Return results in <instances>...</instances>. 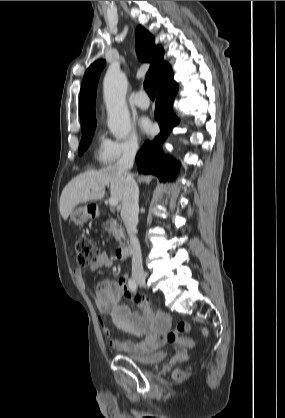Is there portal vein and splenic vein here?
<instances>
[{
  "instance_id": "18ae733b",
  "label": "portal vein and splenic vein",
  "mask_w": 285,
  "mask_h": 418,
  "mask_svg": "<svg viewBox=\"0 0 285 418\" xmlns=\"http://www.w3.org/2000/svg\"><path fill=\"white\" fill-rule=\"evenodd\" d=\"M101 188H95L94 190H100ZM118 199H116V198H113V197H111L110 199H109V204L112 206V207H115L116 205H118Z\"/></svg>"
}]
</instances>
